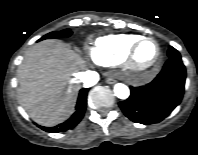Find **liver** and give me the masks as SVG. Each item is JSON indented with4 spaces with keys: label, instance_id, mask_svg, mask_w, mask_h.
<instances>
[{
    "label": "liver",
    "instance_id": "liver-1",
    "mask_svg": "<svg viewBox=\"0 0 198 155\" xmlns=\"http://www.w3.org/2000/svg\"><path fill=\"white\" fill-rule=\"evenodd\" d=\"M81 57L58 41L33 46L18 68V101L38 124L54 126L74 111Z\"/></svg>",
    "mask_w": 198,
    "mask_h": 155
}]
</instances>
